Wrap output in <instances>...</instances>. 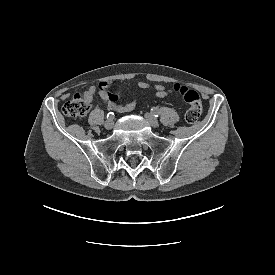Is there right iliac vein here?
<instances>
[{
  "mask_svg": "<svg viewBox=\"0 0 275 275\" xmlns=\"http://www.w3.org/2000/svg\"><path fill=\"white\" fill-rule=\"evenodd\" d=\"M114 126V121L113 118H109L108 120H106L104 127L108 130L112 129Z\"/></svg>",
  "mask_w": 275,
  "mask_h": 275,
  "instance_id": "obj_1",
  "label": "right iliac vein"
}]
</instances>
